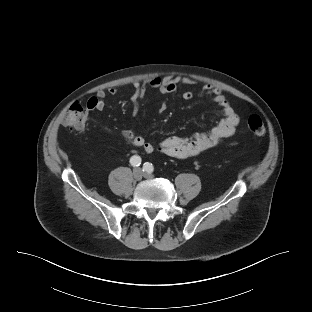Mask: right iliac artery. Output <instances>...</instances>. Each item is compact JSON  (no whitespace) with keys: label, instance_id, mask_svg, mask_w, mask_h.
<instances>
[{"label":"right iliac artery","instance_id":"obj_1","mask_svg":"<svg viewBox=\"0 0 312 312\" xmlns=\"http://www.w3.org/2000/svg\"><path fill=\"white\" fill-rule=\"evenodd\" d=\"M130 163L134 167H138L141 164V158L137 155H134L130 158Z\"/></svg>","mask_w":312,"mask_h":312}]
</instances>
